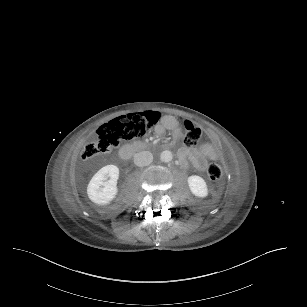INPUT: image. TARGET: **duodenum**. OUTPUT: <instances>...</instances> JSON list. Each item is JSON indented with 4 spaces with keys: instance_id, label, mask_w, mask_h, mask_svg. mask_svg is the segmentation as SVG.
I'll return each mask as SVG.
<instances>
[{
    "instance_id": "obj_1",
    "label": "duodenum",
    "mask_w": 307,
    "mask_h": 307,
    "mask_svg": "<svg viewBox=\"0 0 307 307\" xmlns=\"http://www.w3.org/2000/svg\"><path fill=\"white\" fill-rule=\"evenodd\" d=\"M155 144L152 142H146V141H133L125 144L122 146L118 151V156L120 159L125 160L127 159L132 153L143 150L146 148H151ZM180 159V155L177 156Z\"/></svg>"
}]
</instances>
